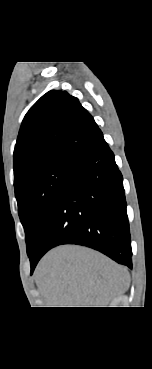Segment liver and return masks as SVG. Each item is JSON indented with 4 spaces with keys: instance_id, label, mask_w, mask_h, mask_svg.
<instances>
[{
    "instance_id": "obj_1",
    "label": "liver",
    "mask_w": 152,
    "mask_h": 369,
    "mask_svg": "<svg viewBox=\"0 0 152 369\" xmlns=\"http://www.w3.org/2000/svg\"><path fill=\"white\" fill-rule=\"evenodd\" d=\"M35 279L50 307H105L130 286L126 267L74 245L48 252L36 268Z\"/></svg>"
}]
</instances>
